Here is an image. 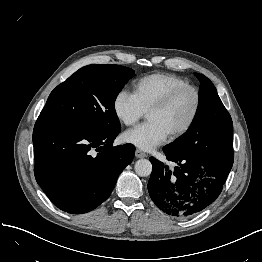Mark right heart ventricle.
Masks as SVG:
<instances>
[{"label": "right heart ventricle", "instance_id": "1", "mask_svg": "<svg viewBox=\"0 0 262 262\" xmlns=\"http://www.w3.org/2000/svg\"><path fill=\"white\" fill-rule=\"evenodd\" d=\"M183 85H187V81L180 76L154 73L138 80L133 87V94L146 112L168 92Z\"/></svg>", "mask_w": 262, "mask_h": 262}]
</instances>
